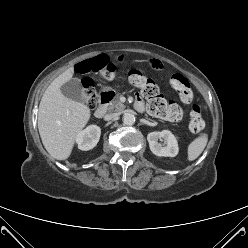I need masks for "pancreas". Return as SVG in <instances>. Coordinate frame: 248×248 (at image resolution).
I'll list each match as a JSON object with an SVG mask.
<instances>
[{"label": "pancreas", "mask_w": 248, "mask_h": 248, "mask_svg": "<svg viewBox=\"0 0 248 248\" xmlns=\"http://www.w3.org/2000/svg\"><path fill=\"white\" fill-rule=\"evenodd\" d=\"M120 95H117L109 104L108 109L114 112H120L125 108V105L122 104L119 100Z\"/></svg>", "instance_id": "cf45deb5"}]
</instances>
